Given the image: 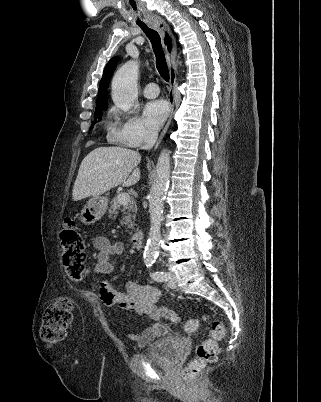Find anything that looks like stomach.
I'll use <instances>...</instances> for the list:
<instances>
[{"instance_id": "obj_1", "label": "stomach", "mask_w": 321, "mask_h": 402, "mask_svg": "<svg viewBox=\"0 0 321 402\" xmlns=\"http://www.w3.org/2000/svg\"><path fill=\"white\" fill-rule=\"evenodd\" d=\"M108 199L104 196H93L82 208L79 219L82 223L93 224L105 214Z\"/></svg>"}]
</instances>
